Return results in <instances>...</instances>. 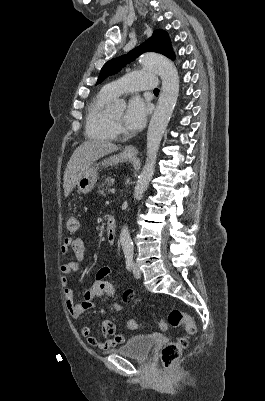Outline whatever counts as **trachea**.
Wrapping results in <instances>:
<instances>
[{
  "label": "trachea",
  "mask_w": 265,
  "mask_h": 401,
  "mask_svg": "<svg viewBox=\"0 0 265 401\" xmlns=\"http://www.w3.org/2000/svg\"><path fill=\"white\" fill-rule=\"evenodd\" d=\"M154 93H155V94H159V88H155V89H154Z\"/></svg>",
  "instance_id": "obj_1"
}]
</instances>
